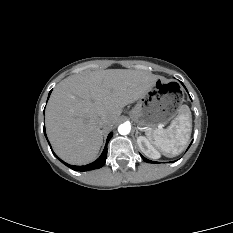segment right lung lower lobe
Returning <instances> with one entry per match:
<instances>
[{
	"mask_svg": "<svg viewBox=\"0 0 233 233\" xmlns=\"http://www.w3.org/2000/svg\"><path fill=\"white\" fill-rule=\"evenodd\" d=\"M50 93H51V91H50ZM50 93H49V95H50ZM44 134L46 136L45 128H44ZM112 135H113L112 133H110L108 135L107 143L111 139ZM48 143H49V141H48ZM53 154H54L55 157H57L54 152H53ZM106 157H107V145L105 146L101 156L96 161H94L93 163H90V164L85 165V166H74V165L67 164V163H65L63 161H62V163H64L66 166L70 167L71 169H73L75 171H88V170L101 168L105 164Z\"/></svg>",
	"mask_w": 233,
	"mask_h": 233,
	"instance_id": "1",
	"label": "right lung lower lobe"
}]
</instances>
